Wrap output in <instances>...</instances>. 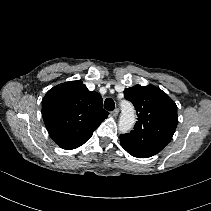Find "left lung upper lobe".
<instances>
[{"instance_id": "5c2ea615", "label": "left lung upper lobe", "mask_w": 211, "mask_h": 211, "mask_svg": "<svg viewBox=\"0 0 211 211\" xmlns=\"http://www.w3.org/2000/svg\"><path fill=\"white\" fill-rule=\"evenodd\" d=\"M124 97L137 111L138 121L128 134L120 135L121 146L132 156L148 158L170 142L178 124L175 102L160 88L136 85Z\"/></svg>"}]
</instances>
